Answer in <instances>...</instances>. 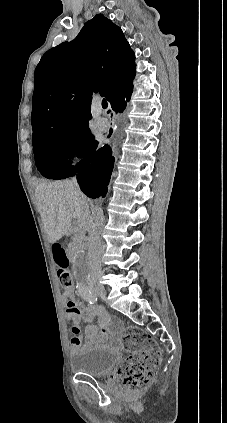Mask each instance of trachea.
<instances>
[{
    "label": "trachea",
    "mask_w": 227,
    "mask_h": 423,
    "mask_svg": "<svg viewBox=\"0 0 227 423\" xmlns=\"http://www.w3.org/2000/svg\"><path fill=\"white\" fill-rule=\"evenodd\" d=\"M102 108H107V100H105V98L102 100Z\"/></svg>",
    "instance_id": "1"
}]
</instances>
